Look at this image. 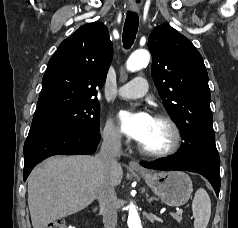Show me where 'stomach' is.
Masks as SVG:
<instances>
[{
  "label": "stomach",
  "mask_w": 238,
  "mask_h": 228,
  "mask_svg": "<svg viewBox=\"0 0 238 228\" xmlns=\"http://www.w3.org/2000/svg\"><path fill=\"white\" fill-rule=\"evenodd\" d=\"M138 174L144 178L155 194L169 206L184 205L193 192L190 177L181 171L138 172Z\"/></svg>",
  "instance_id": "obj_1"
}]
</instances>
